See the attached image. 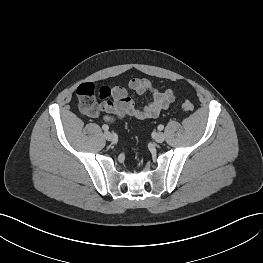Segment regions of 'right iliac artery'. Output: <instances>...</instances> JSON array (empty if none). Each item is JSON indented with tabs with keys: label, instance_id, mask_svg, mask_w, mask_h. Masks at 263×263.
<instances>
[{
	"label": "right iliac artery",
	"instance_id": "1",
	"mask_svg": "<svg viewBox=\"0 0 263 263\" xmlns=\"http://www.w3.org/2000/svg\"><path fill=\"white\" fill-rule=\"evenodd\" d=\"M102 129L105 130V131H107V130L109 129V126L106 125V124H104V125L102 126Z\"/></svg>",
	"mask_w": 263,
	"mask_h": 263
}]
</instances>
